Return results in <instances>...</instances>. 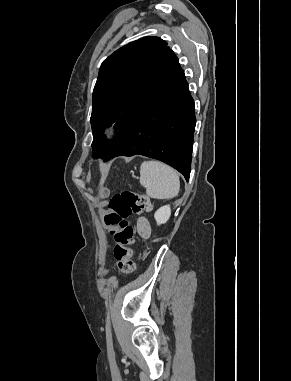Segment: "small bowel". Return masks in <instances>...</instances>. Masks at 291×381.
Returning <instances> with one entry per match:
<instances>
[{
	"mask_svg": "<svg viewBox=\"0 0 291 381\" xmlns=\"http://www.w3.org/2000/svg\"><path fill=\"white\" fill-rule=\"evenodd\" d=\"M138 232H139V235L144 238V239H148L150 234H151V229H150V225L149 223L147 222L146 219L144 218H141L139 221H138Z\"/></svg>",
	"mask_w": 291,
	"mask_h": 381,
	"instance_id": "obj_1",
	"label": "small bowel"
}]
</instances>
